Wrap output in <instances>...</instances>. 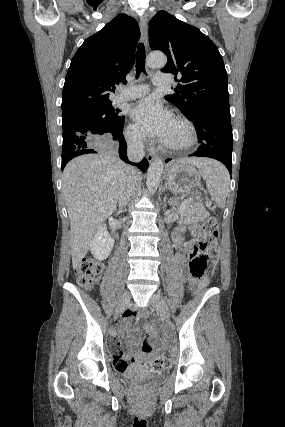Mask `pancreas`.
Segmentation results:
<instances>
[{
	"label": "pancreas",
	"instance_id": "obj_1",
	"mask_svg": "<svg viewBox=\"0 0 285 427\" xmlns=\"http://www.w3.org/2000/svg\"><path fill=\"white\" fill-rule=\"evenodd\" d=\"M182 214L195 215L196 219L205 218L209 216V213L204 209L202 204L197 201L189 202L185 206Z\"/></svg>",
	"mask_w": 285,
	"mask_h": 427
}]
</instances>
